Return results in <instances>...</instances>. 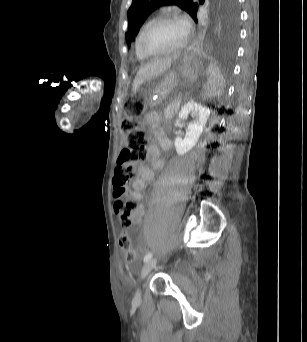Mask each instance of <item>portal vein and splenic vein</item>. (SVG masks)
<instances>
[{"instance_id": "obj_1", "label": "portal vein and splenic vein", "mask_w": 307, "mask_h": 342, "mask_svg": "<svg viewBox=\"0 0 307 342\" xmlns=\"http://www.w3.org/2000/svg\"><path fill=\"white\" fill-rule=\"evenodd\" d=\"M176 109H180L181 108V105L180 104H177L176 106H174Z\"/></svg>"}]
</instances>
